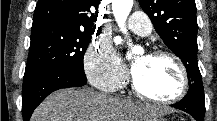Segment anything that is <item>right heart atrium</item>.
<instances>
[{
  "instance_id": "d8ad5b80",
  "label": "right heart atrium",
  "mask_w": 217,
  "mask_h": 121,
  "mask_svg": "<svg viewBox=\"0 0 217 121\" xmlns=\"http://www.w3.org/2000/svg\"><path fill=\"white\" fill-rule=\"evenodd\" d=\"M83 63L87 78L100 89L116 91L126 80V71L109 40L105 38L90 45Z\"/></svg>"
}]
</instances>
